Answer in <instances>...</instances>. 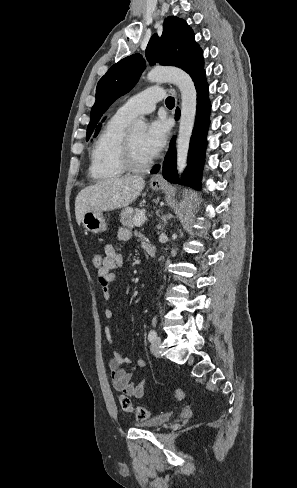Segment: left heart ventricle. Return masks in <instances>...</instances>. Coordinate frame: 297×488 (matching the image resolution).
<instances>
[{"label": "left heart ventricle", "mask_w": 297, "mask_h": 488, "mask_svg": "<svg viewBox=\"0 0 297 488\" xmlns=\"http://www.w3.org/2000/svg\"><path fill=\"white\" fill-rule=\"evenodd\" d=\"M143 137H144L143 132L129 135L132 148H133L134 159L138 163H145L149 159H151L143 148L142 145Z\"/></svg>", "instance_id": "b2bd125f"}]
</instances>
